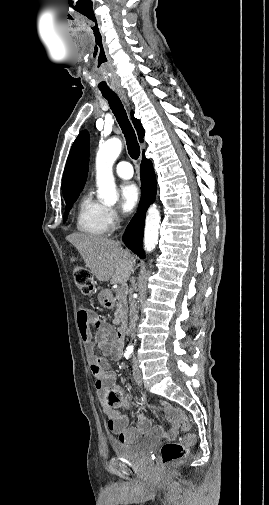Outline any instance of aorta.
<instances>
[{
	"label": "aorta",
	"mask_w": 269,
	"mask_h": 505,
	"mask_svg": "<svg viewBox=\"0 0 269 505\" xmlns=\"http://www.w3.org/2000/svg\"><path fill=\"white\" fill-rule=\"evenodd\" d=\"M122 150L119 138H110L100 145L96 156V183L98 198L106 204H115L118 200L112 167ZM160 212L156 204H152L146 215L144 230V249L146 252L154 250L159 238ZM128 349H132L129 346Z\"/></svg>",
	"instance_id": "1"
}]
</instances>
